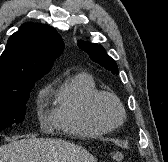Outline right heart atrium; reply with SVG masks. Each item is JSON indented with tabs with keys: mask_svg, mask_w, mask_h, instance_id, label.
<instances>
[{
	"mask_svg": "<svg viewBox=\"0 0 168 162\" xmlns=\"http://www.w3.org/2000/svg\"><path fill=\"white\" fill-rule=\"evenodd\" d=\"M39 118L42 122L46 121V116H44L43 112L42 111H39Z\"/></svg>",
	"mask_w": 168,
	"mask_h": 162,
	"instance_id": "d8ad5b80",
	"label": "right heart atrium"
}]
</instances>
